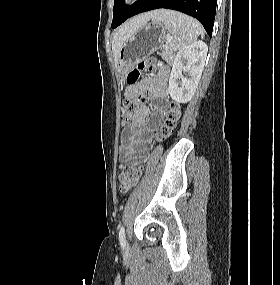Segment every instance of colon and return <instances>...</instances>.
<instances>
[{
  "mask_svg": "<svg viewBox=\"0 0 280 285\" xmlns=\"http://www.w3.org/2000/svg\"><path fill=\"white\" fill-rule=\"evenodd\" d=\"M161 62L154 59L148 58L141 61L136 68L129 72L127 75V83L129 86H134L140 80L142 73L146 70H153L159 68ZM146 93L143 91L137 92L131 98L125 100L121 108V122L128 124L132 121L133 117L137 113L140 105L145 101ZM181 116V108L178 103L171 102L167 111L165 112L160 126L158 128V137L164 138L169 136ZM141 176V168L135 163L128 164L119 175L120 188L123 191L132 189L138 182Z\"/></svg>",
  "mask_w": 280,
  "mask_h": 285,
  "instance_id": "5ec220e1",
  "label": "colon"
}]
</instances>
